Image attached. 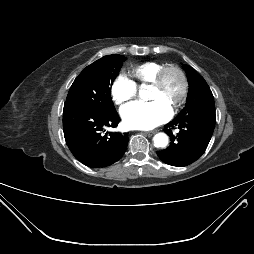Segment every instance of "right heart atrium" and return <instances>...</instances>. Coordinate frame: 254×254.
<instances>
[{
  "label": "right heart atrium",
  "instance_id": "obj_1",
  "mask_svg": "<svg viewBox=\"0 0 254 254\" xmlns=\"http://www.w3.org/2000/svg\"><path fill=\"white\" fill-rule=\"evenodd\" d=\"M111 96L115 104L122 105L135 97L137 87L126 75H118L111 85Z\"/></svg>",
  "mask_w": 254,
  "mask_h": 254
}]
</instances>
